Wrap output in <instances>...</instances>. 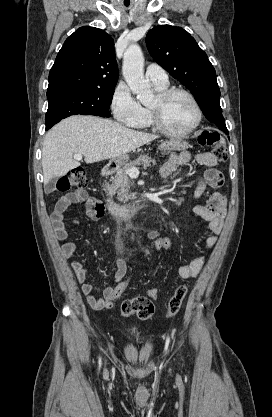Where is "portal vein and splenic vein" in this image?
Listing matches in <instances>:
<instances>
[{"mask_svg": "<svg viewBox=\"0 0 272 417\" xmlns=\"http://www.w3.org/2000/svg\"><path fill=\"white\" fill-rule=\"evenodd\" d=\"M74 159H76V160H81L82 159V155L81 154H75L74 155ZM126 173L129 175V176H137L138 174H139V169L138 168H136V167H133V168H130V169H128L127 171H126Z\"/></svg>", "mask_w": 272, "mask_h": 417, "instance_id": "1", "label": "portal vein and splenic vein"}]
</instances>
